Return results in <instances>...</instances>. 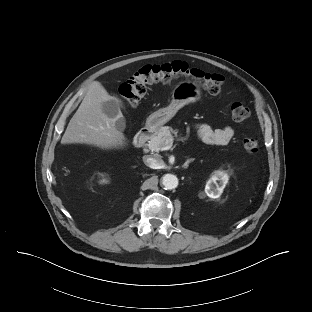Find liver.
<instances>
[{
  "mask_svg": "<svg viewBox=\"0 0 312 312\" xmlns=\"http://www.w3.org/2000/svg\"><path fill=\"white\" fill-rule=\"evenodd\" d=\"M114 99L100 82H93L61 139L62 144H88L101 149L121 148L125 135L116 128V119L102 110L103 102ZM122 116V115H121Z\"/></svg>",
  "mask_w": 312,
  "mask_h": 312,
  "instance_id": "liver-1",
  "label": "liver"
}]
</instances>
